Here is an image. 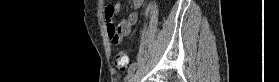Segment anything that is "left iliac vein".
I'll return each instance as SVG.
<instances>
[{
  "instance_id": "obj_1",
  "label": "left iliac vein",
  "mask_w": 279,
  "mask_h": 82,
  "mask_svg": "<svg viewBox=\"0 0 279 82\" xmlns=\"http://www.w3.org/2000/svg\"><path fill=\"white\" fill-rule=\"evenodd\" d=\"M128 82H136V74L133 73Z\"/></svg>"
}]
</instances>
